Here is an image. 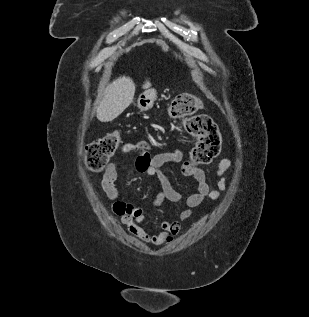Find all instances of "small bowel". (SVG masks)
<instances>
[{"instance_id":"1","label":"small bowel","mask_w":309,"mask_h":317,"mask_svg":"<svg viewBox=\"0 0 309 317\" xmlns=\"http://www.w3.org/2000/svg\"><path fill=\"white\" fill-rule=\"evenodd\" d=\"M136 152L133 162L134 169L142 174L154 178L159 184L160 191L153 200V206H159L164 200L177 203L183 200V195L178 192L169 181L163 167L171 163H179L183 159V153L179 149L171 152L151 155L152 146L147 141H139L131 146ZM232 168L230 159H222L215 171L214 179L208 182L205 172L186 161L183 164V173L194 179L196 192L186 197L187 209L179 215V220H165L160 224V230L150 232L142 223L144 213L141 208L121 199L120 192L116 186L118 167L110 163L103 174L101 185L108 199L111 201V208L115 215L119 216L122 224L128 231L140 241L150 245H163L170 243L181 230V222L189 219L205 198L218 199L227 189L228 178L225 175Z\"/></svg>"}]
</instances>
